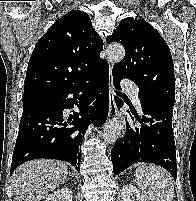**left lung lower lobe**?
<instances>
[{
  "label": "left lung lower lobe",
  "instance_id": "left-lung-lower-lobe-1",
  "mask_svg": "<svg viewBox=\"0 0 196 201\" xmlns=\"http://www.w3.org/2000/svg\"><path fill=\"white\" fill-rule=\"evenodd\" d=\"M120 80L113 76V85L120 90ZM117 106L123 101L116 97ZM128 104V102H126ZM143 116L138 117L135 109L132 114L143 125L131 126L126 122L125 136L117 141L111 152L114 174L117 175L130 165L138 162L154 163L168 170L174 179L177 177L175 141L172 130L173 106L157 99H140ZM128 110V112L130 113Z\"/></svg>",
  "mask_w": 196,
  "mask_h": 201
}]
</instances>
